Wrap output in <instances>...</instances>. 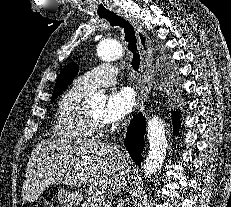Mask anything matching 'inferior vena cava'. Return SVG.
<instances>
[{
	"mask_svg": "<svg viewBox=\"0 0 231 207\" xmlns=\"http://www.w3.org/2000/svg\"><path fill=\"white\" fill-rule=\"evenodd\" d=\"M120 160H121L122 164L126 163L125 156L123 154L120 155ZM117 207H123V201H122V199H119Z\"/></svg>",
	"mask_w": 231,
	"mask_h": 207,
	"instance_id": "602c4592",
	"label": "inferior vena cava"
}]
</instances>
